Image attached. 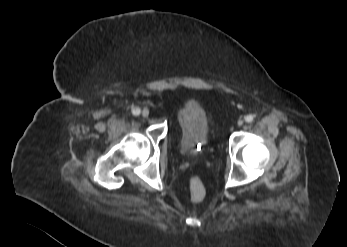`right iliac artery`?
Segmentation results:
<instances>
[{
	"mask_svg": "<svg viewBox=\"0 0 347 247\" xmlns=\"http://www.w3.org/2000/svg\"><path fill=\"white\" fill-rule=\"evenodd\" d=\"M140 112H141V110L139 108H137V107L132 108V114L133 115L137 116L140 114Z\"/></svg>",
	"mask_w": 347,
	"mask_h": 247,
	"instance_id": "82829eb1",
	"label": "right iliac artery"
}]
</instances>
